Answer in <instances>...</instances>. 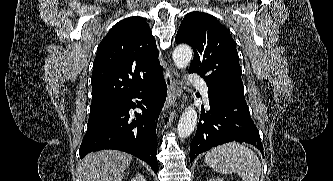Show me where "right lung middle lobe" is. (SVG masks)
<instances>
[{
  "label": "right lung middle lobe",
  "mask_w": 333,
  "mask_h": 181,
  "mask_svg": "<svg viewBox=\"0 0 333 181\" xmlns=\"http://www.w3.org/2000/svg\"><path fill=\"white\" fill-rule=\"evenodd\" d=\"M104 109H105V108H104ZM104 109L90 111V116H93V115H95V114L101 112V111L104 110Z\"/></svg>",
  "instance_id": "right-lung-middle-lobe-1"
}]
</instances>
